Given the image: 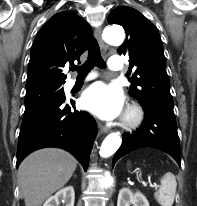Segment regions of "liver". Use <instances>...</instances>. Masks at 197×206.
Returning <instances> with one entry per match:
<instances>
[{
	"label": "liver",
	"mask_w": 197,
	"mask_h": 206,
	"mask_svg": "<svg viewBox=\"0 0 197 206\" xmlns=\"http://www.w3.org/2000/svg\"><path fill=\"white\" fill-rule=\"evenodd\" d=\"M76 167V159L62 149L46 148L28 155L18 169L25 206H41L69 181Z\"/></svg>",
	"instance_id": "6515ba94"
}]
</instances>
